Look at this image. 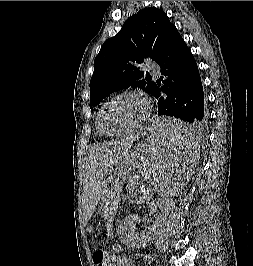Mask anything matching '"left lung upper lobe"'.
I'll return each mask as SVG.
<instances>
[{"instance_id": "obj_1", "label": "left lung upper lobe", "mask_w": 253, "mask_h": 266, "mask_svg": "<svg viewBox=\"0 0 253 266\" xmlns=\"http://www.w3.org/2000/svg\"><path fill=\"white\" fill-rule=\"evenodd\" d=\"M167 14L155 7L131 16L121 30L101 47L90 81V108L116 91L138 87L153 94L155 82L144 79L140 66L146 59L157 62L174 30Z\"/></svg>"}]
</instances>
